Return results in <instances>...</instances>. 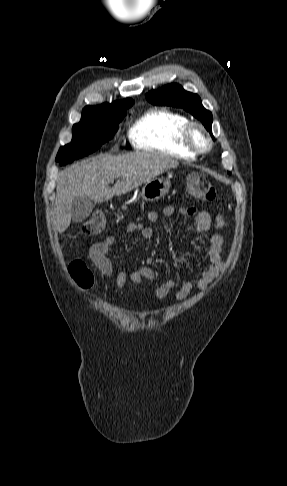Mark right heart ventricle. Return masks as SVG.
Instances as JSON below:
<instances>
[{
  "mask_svg": "<svg viewBox=\"0 0 287 486\" xmlns=\"http://www.w3.org/2000/svg\"><path fill=\"white\" fill-rule=\"evenodd\" d=\"M188 122L179 112L152 109L135 121L128 131V137L138 151L191 159L196 154L187 148L182 137Z\"/></svg>",
  "mask_w": 287,
  "mask_h": 486,
  "instance_id": "right-heart-ventricle-1",
  "label": "right heart ventricle"
}]
</instances>
